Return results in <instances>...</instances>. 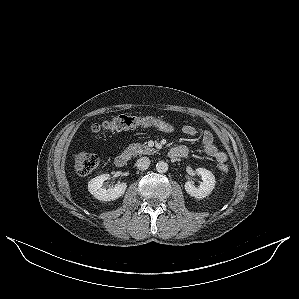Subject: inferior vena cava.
Segmentation results:
<instances>
[{"label": "inferior vena cava", "mask_w": 299, "mask_h": 299, "mask_svg": "<svg viewBox=\"0 0 299 299\" xmlns=\"http://www.w3.org/2000/svg\"><path fill=\"white\" fill-rule=\"evenodd\" d=\"M136 166L139 170H146L150 166V160L148 157H141L137 160Z\"/></svg>", "instance_id": "1"}]
</instances>
